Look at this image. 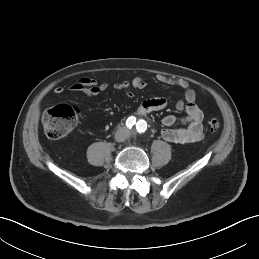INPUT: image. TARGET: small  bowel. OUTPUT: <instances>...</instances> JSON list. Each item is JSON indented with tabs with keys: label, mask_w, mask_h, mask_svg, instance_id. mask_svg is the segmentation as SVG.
Masks as SVG:
<instances>
[{
	"label": "small bowel",
	"mask_w": 259,
	"mask_h": 259,
	"mask_svg": "<svg viewBox=\"0 0 259 259\" xmlns=\"http://www.w3.org/2000/svg\"><path fill=\"white\" fill-rule=\"evenodd\" d=\"M157 80L168 85L177 86L184 91V99L176 102V109L184 111L186 116L181 120L186 125L184 128H171L177 118L174 115H167L162 119L165 126L161 131V136L164 140L175 144H186L200 141L203 136L202 121L204 118L202 110L196 103V93L191 88L189 82L181 78H172L164 75H157ZM146 86L145 79L142 76H137L131 80H123L114 85V89L132 96L130 89H143ZM109 88L107 82H98L92 77H84L72 84L68 89L71 92H82L87 96H96ZM65 88L58 86L54 89L56 95H62ZM167 106V101L162 97L149 98L142 101L137 107V114L140 116L148 115L155 111L163 110Z\"/></svg>",
	"instance_id": "c3829d8e"
}]
</instances>
